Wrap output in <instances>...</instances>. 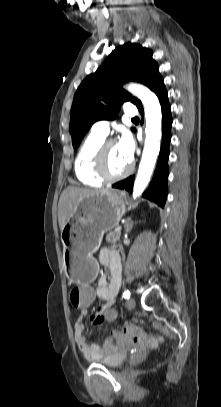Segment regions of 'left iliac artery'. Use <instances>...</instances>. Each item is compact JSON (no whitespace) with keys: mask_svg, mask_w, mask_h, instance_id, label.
Returning a JSON list of instances; mask_svg holds the SVG:
<instances>
[{"mask_svg":"<svg viewBox=\"0 0 221 407\" xmlns=\"http://www.w3.org/2000/svg\"><path fill=\"white\" fill-rule=\"evenodd\" d=\"M130 296H131V294H130L129 290H125L124 293H123V298L124 299H129Z\"/></svg>","mask_w":221,"mask_h":407,"instance_id":"44dca946","label":"left iliac artery"}]
</instances>
